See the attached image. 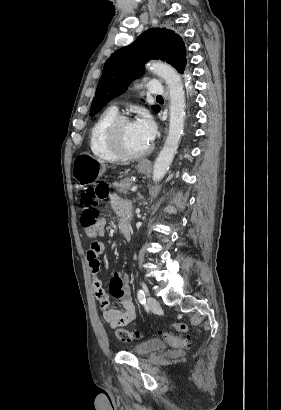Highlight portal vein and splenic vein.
Returning <instances> with one entry per match:
<instances>
[{
	"label": "portal vein and splenic vein",
	"mask_w": 281,
	"mask_h": 410,
	"mask_svg": "<svg viewBox=\"0 0 281 410\" xmlns=\"http://www.w3.org/2000/svg\"><path fill=\"white\" fill-rule=\"evenodd\" d=\"M137 190V186H132L131 191L135 192Z\"/></svg>",
	"instance_id": "obj_1"
}]
</instances>
